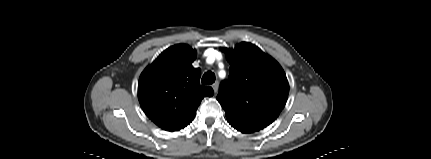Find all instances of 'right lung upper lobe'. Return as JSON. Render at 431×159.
Returning <instances> with one entry per match:
<instances>
[{
	"label": "right lung upper lobe",
	"instance_id": "obj_1",
	"mask_svg": "<svg viewBox=\"0 0 431 159\" xmlns=\"http://www.w3.org/2000/svg\"><path fill=\"white\" fill-rule=\"evenodd\" d=\"M196 51L177 44L163 51L140 75L138 98L145 114L159 127L178 131L194 118L201 100L212 96L201 86V71L194 68Z\"/></svg>",
	"mask_w": 431,
	"mask_h": 159
}]
</instances>
